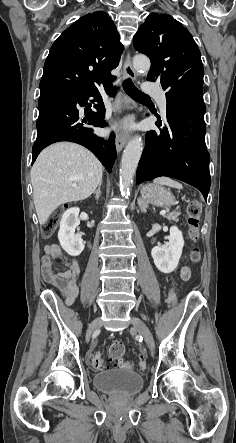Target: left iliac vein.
<instances>
[{
    "label": "left iliac vein",
    "instance_id": "obj_1",
    "mask_svg": "<svg viewBox=\"0 0 236 443\" xmlns=\"http://www.w3.org/2000/svg\"><path fill=\"white\" fill-rule=\"evenodd\" d=\"M132 326L134 329L137 330V332L143 336L146 344L150 348V350H154L155 344L154 339L152 336V333L148 329V327L145 325V323L138 317L133 316L132 317Z\"/></svg>",
    "mask_w": 236,
    "mask_h": 443
}]
</instances>
